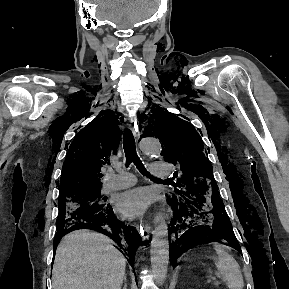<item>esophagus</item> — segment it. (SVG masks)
Returning a JSON list of instances; mask_svg holds the SVG:
<instances>
[{
    "instance_id": "esophagus-1",
    "label": "esophagus",
    "mask_w": 289,
    "mask_h": 289,
    "mask_svg": "<svg viewBox=\"0 0 289 289\" xmlns=\"http://www.w3.org/2000/svg\"><path fill=\"white\" fill-rule=\"evenodd\" d=\"M131 122H132L131 127H132L133 134H134L137 142H139L140 132H139V129L137 126V122L134 121V125H133V120ZM140 232H141L142 237L145 240H148L150 238V236L153 234V230H152L151 226L147 222H144V221L140 223Z\"/></svg>"
}]
</instances>
